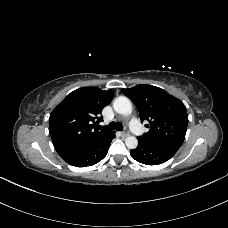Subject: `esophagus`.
Masks as SVG:
<instances>
[{"label": "esophagus", "instance_id": "esophagus-1", "mask_svg": "<svg viewBox=\"0 0 228 228\" xmlns=\"http://www.w3.org/2000/svg\"><path fill=\"white\" fill-rule=\"evenodd\" d=\"M121 135H122L123 137H126V136L129 135V133H128V131H123V132H121Z\"/></svg>", "mask_w": 228, "mask_h": 228}]
</instances>
